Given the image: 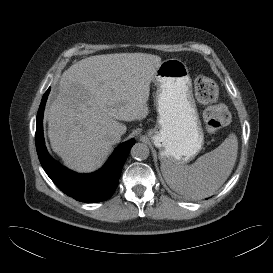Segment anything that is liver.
Listing matches in <instances>:
<instances>
[{
  "label": "liver",
  "instance_id": "obj_1",
  "mask_svg": "<svg viewBox=\"0 0 273 273\" xmlns=\"http://www.w3.org/2000/svg\"><path fill=\"white\" fill-rule=\"evenodd\" d=\"M161 58L115 53L82 59L61 76L49 106L48 137L65 165L80 173L101 167L112 150V133L148 115L150 83Z\"/></svg>",
  "mask_w": 273,
  "mask_h": 273
}]
</instances>
